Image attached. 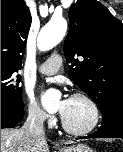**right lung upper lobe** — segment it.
<instances>
[{
    "label": "right lung upper lobe",
    "instance_id": "cb5924a9",
    "mask_svg": "<svg viewBox=\"0 0 123 152\" xmlns=\"http://www.w3.org/2000/svg\"><path fill=\"white\" fill-rule=\"evenodd\" d=\"M31 14L23 0H1V67L21 69Z\"/></svg>",
    "mask_w": 123,
    "mask_h": 152
}]
</instances>
